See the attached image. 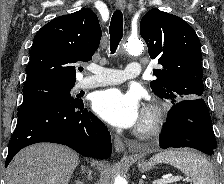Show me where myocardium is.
Listing matches in <instances>:
<instances>
[{
  "label": "myocardium",
  "instance_id": "obj_1",
  "mask_svg": "<svg viewBox=\"0 0 224 184\" xmlns=\"http://www.w3.org/2000/svg\"><path fill=\"white\" fill-rule=\"evenodd\" d=\"M166 111L157 105H146L135 134L142 139H149L157 136L165 123Z\"/></svg>",
  "mask_w": 224,
  "mask_h": 184
}]
</instances>
